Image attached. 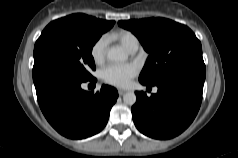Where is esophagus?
Returning <instances> with one entry per match:
<instances>
[{
  "label": "esophagus",
  "instance_id": "34e87169",
  "mask_svg": "<svg viewBox=\"0 0 238 158\" xmlns=\"http://www.w3.org/2000/svg\"><path fill=\"white\" fill-rule=\"evenodd\" d=\"M125 93H126L125 90H118V94H119L120 96L124 95Z\"/></svg>",
  "mask_w": 238,
  "mask_h": 158
}]
</instances>
